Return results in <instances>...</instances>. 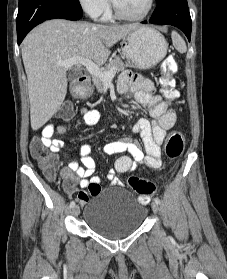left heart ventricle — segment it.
Here are the masks:
<instances>
[{"instance_id":"left-heart-ventricle-1","label":"left heart ventricle","mask_w":227,"mask_h":279,"mask_svg":"<svg viewBox=\"0 0 227 279\" xmlns=\"http://www.w3.org/2000/svg\"><path fill=\"white\" fill-rule=\"evenodd\" d=\"M116 5L128 15L143 13L148 5V0H114Z\"/></svg>"}]
</instances>
